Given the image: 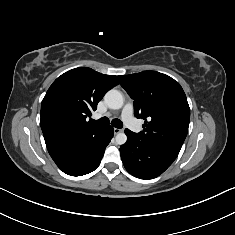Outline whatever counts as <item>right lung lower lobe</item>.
Returning <instances> with one entry per match:
<instances>
[{
  "label": "right lung lower lobe",
  "mask_w": 235,
  "mask_h": 235,
  "mask_svg": "<svg viewBox=\"0 0 235 235\" xmlns=\"http://www.w3.org/2000/svg\"><path fill=\"white\" fill-rule=\"evenodd\" d=\"M113 135V127L104 126L52 147L48 149V152L64 173L71 176H82L99 166L105 148Z\"/></svg>",
  "instance_id": "obj_1"
}]
</instances>
